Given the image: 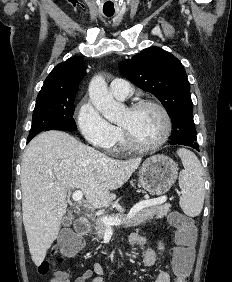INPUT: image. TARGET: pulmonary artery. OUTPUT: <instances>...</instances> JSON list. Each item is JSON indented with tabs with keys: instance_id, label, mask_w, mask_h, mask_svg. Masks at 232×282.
<instances>
[{
	"instance_id": "obj_1",
	"label": "pulmonary artery",
	"mask_w": 232,
	"mask_h": 282,
	"mask_svg": "<svg viewBox=\"0 0 232 282\" xmlns=\"http://www.w3.org/2000/svg\"><path fill=\"white\" fill-rule=\"evenodd\" d=\"M110 92L118 100H124L131 94V86L124 79H114L110 84Z\"/></svg>"
}]
</instances>
